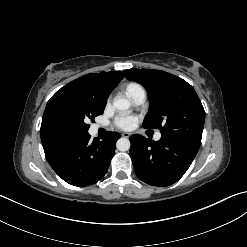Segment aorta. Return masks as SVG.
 <instances>
[{
    "label": "aorta",
    "mask_w": 247,
    "mask_h": 247,
    "mask_svg": "<svg viewBox=\"0 0 247 247\" xmlns=\"http://www.w3.org/2000/svg\"><path fill=\"white\" fill-rule=\"evenodd\" d=\"M113 106L120 111H125L127 109H129V107L131 106V103L128 99L126 98H120L117 97L115 98L114 102H113ZM130 141L128 138L126 137H121L117 140L116 143V147L119 151H128L130 149Z\"/></svg>",
    "instance_id": "762f6f07"
}]
</instances>
